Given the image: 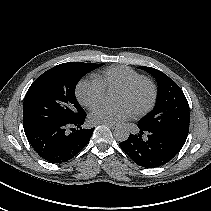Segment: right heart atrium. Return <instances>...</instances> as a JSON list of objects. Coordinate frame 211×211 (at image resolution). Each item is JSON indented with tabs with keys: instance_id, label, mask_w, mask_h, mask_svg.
<instances>
[{
	"instance_id": "obj_1",
	"label": "right heart atrium",
	"mask_w": 211,
	"mask_h": 211,
	"mask_svg": "<svg viewBox=\"0 0 211 211\" xmlns=\"http://www.w3.org/2000/svg\"><path fill=\"white\" fill-rule=\"evenodd\" d=\"M78 101L87 108H94L101 103L105 96V87L94 76L81 80L76 88Z\"/></svg>"
}]
</instances>
